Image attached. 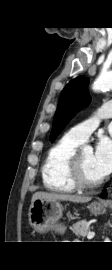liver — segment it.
<instances>
[{
    "instance_id": "1",
    "label": "liver",
    "mask_w": 112,
    "mask_h": 270,
    "mask_svg": "<svg viewBox=\"0 0 112 270\" xmlns=\"http://www.w3.org/2000/svg\"><path fill=\"white\" fill-rule=\"evenodd\" d=\"M36 199L62 200V201H70L74 203H86L91 200V197L70 195V194L48 193V192L39 191L33 194L31 202L35 201Z\"/></svg>"
}]
</instances>
